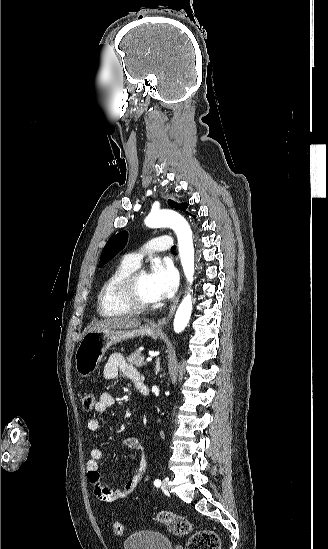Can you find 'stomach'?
Returning a JSON list of instances; mask_svg holds the SVG:
<instances>
[{"label": "stomach", "instance_id": "1", "mask_svg": "<svg viewBox=\"0 0 328 549\" xmlns=\"http://www.w3.org/2000/svg\"><path fill=\"white\" fill-rule=\"evenodd\" d=\"M154 337L157 339L158 331L149 325H143L139 329H107V331H92L86 333L75 355L76 371L80 377H91L101 363L107 349L112 345L134 339V337Z\"/></svg>", "mask_w": 328, "mask_h": 549}]
</instances>
